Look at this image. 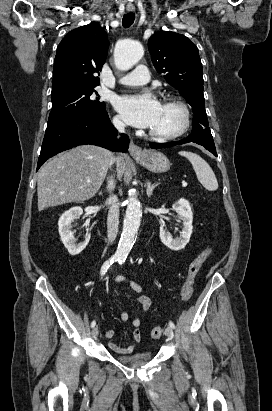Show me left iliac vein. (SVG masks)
<instances>
[{"instance_id":"4c4485c4","label":"left iliac vein","mask_w":272,"mask_h":411,"mask_svg":"<svg viewBox=\"0 0 272 411\" xmlns=\"http://www.w3.org/2000/svg\"><path fill=\"white\" fill-rule=\"evenodd\" d=\"M165 333H166V335H167V337H168L169 339H173V338H174V331H173V329H172L170 326H167V327H166Z\"/></svg>"}]
</instances>
